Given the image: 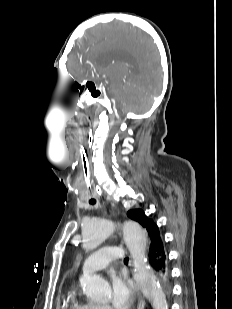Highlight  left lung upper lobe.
Segmentation results:
<instances>
[{
    "mask_svg": "<svg viewBox=\"0 0 232 309\" xmlns=\"http://www.w3.org/2000/svg\"><path fill=\"white\" fill-rule=\"evenodd\" d=\"M128 217L139 222L147 232L151 231L152 226L155 224L152 219H149L141 209L130 210L127 213Z\"/></svg>",
    "mask_w": 232,
    "mask_h": 309,
    "instance_id": "left-lung-upper-lobe-1",
    "label": "left lung upper lobe"
}]
</instances>
